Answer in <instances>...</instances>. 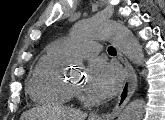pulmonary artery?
<instances>
[{
	"label": "pulmonary artery",
	"instance_id": "obj_1",
	"mask_svg": "<svg viewBox=\"0 0 165 120\" xmlns=\"http://www.w3.org/2000/svg\"><path fill=\"white\" fill-rule=\"evenodd\" d=\"M53 46L67 57L73 55L87 57L98 53L100 50L96 42L76 41L69 38H61Z\"/></svg>",
	"mask_w": 165,
	"mask_h": 120
}]
</instances>
